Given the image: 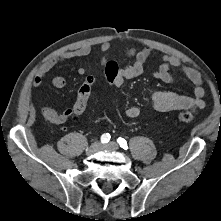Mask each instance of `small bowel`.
Wrapping results in <instances>:
<instances>
[{
    "label": "small bowel",
    "mask_w": 221,
    "mask_h": 221,
    "mask_svg": "<svg viewBox=\"0 0 221 221\" xmlns=\"http://www.w3.org/2000/svg\"><path fill=\"white\" fill-rule=\"evenodd\" d=\"M110 49V42H104L100 45V52L103 55L101 62L104 66L106 61L109 60L107 58V53ZM91 50L90 46L85 45L76 50L63 52L58 56L48 59L38 68L33 79V86L35 88L41 87L44 77L58 63L74 58L86 57L91 53ZM153 52L154 50L152 48L127 50L125 55L132 58L134 62L130 65L119 66L117 79L112 85L120 87L127 80L143 74L145 64ZM171 69L180 70L193 83V95H184L174 91L155 90L151 94L152 108L157 112H169L183 109L197 110L203 108L205 106V89L202 86V77L200 73L193 68L183 66L179 58L165 55L162 57V62L153 75L165 83H173L174 77L170 72ZM78 73L81 76H87L88 69L82 67L78 70ZM52 84L54 87L61 89L66 86L67 82L64 77L56 76L52 79ZM40 111L43 117L54 125L63 124L74 116V108H68L58 113L50 106H40ZM125 114L128 118H137L140 115V109L136 106H130L125 110Z\"/></svg>",
    "instance_id": "c3829d8e"
}]
</instances>
